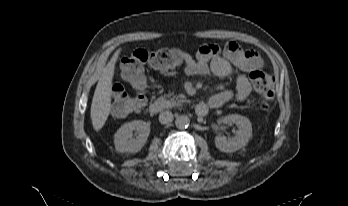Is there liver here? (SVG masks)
<instances>
[{
    "label": "liver",
    "mask_w": 348,
    "mask_h": 206,
    "mask_svg": "<svg viewBox=\"0 0 348 206\" xmlns=\"http://www.w3.org/2000/svg\"><path fill=\"white\" fill-rule=\"evenodd\" d=\"M121 49L116 50L111 60L103 68L91 104V120L94 130L99 131L105 124L111 110L112 81L115 64Z\"/></svg>",
    "instance_id": "obj_1"
}]
</instances>
